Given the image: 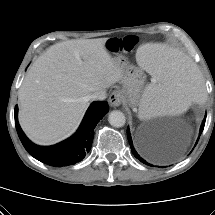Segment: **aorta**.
I'll list each match as a JSON object with an SVG mask.
<instances>
[{"instance_id":"1","label":"aorta","mask_w":215,"mask_h":215,"mask_svg":"<svg viewBox=\"0 0 215 215\" xmlns=\"http://www.w3.org/2000/svg\"><path fill=\"white\" fill-rule=\"evenodd\" d=\"M108 121L113 127H123L126 122L125 115L119 111V110H114L110 112L108 116Z\"/></svg>"}]
</instances>
